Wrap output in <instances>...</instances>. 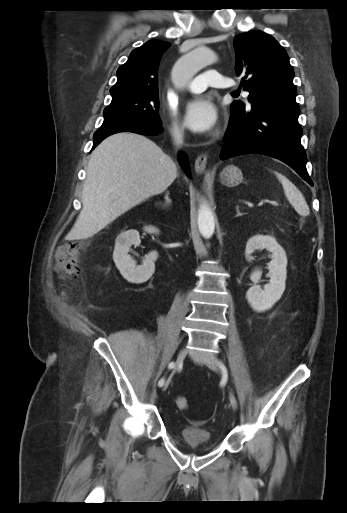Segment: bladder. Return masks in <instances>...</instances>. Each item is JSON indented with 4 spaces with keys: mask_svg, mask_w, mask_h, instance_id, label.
I'll use <instances>...</instances> for the list:
<instances>
[{
    "mask_svg": "<svg viewBox=\"0 0 347 513\" xmlns=\"http://www.w3.org/2000/svg\"><path fill=\"white\" fill-rule=\"evenodd\" d=\"M180 436L183 443L194 450L207 452L215 449L217 446L211 432L204 428L186 426L181 429Z\"/></svg>",
    "mask_w": 347,
    "mask_h": 513,
    "instance_id": "bladder-1",
    "label": "bladder"
}]
</instances>
